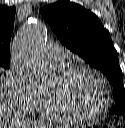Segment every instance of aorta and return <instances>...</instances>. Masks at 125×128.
Instances as JSON below:
<instances>
[{"label": "aorta", "instance_id": "1", "mask_svg": "<svg viewBox=\"0 0 125 128\" xmlns=\"http://www.w3.org/2000/svg\"><path fill=\"white\" fill-rule=\"evenodd\" d=\"M46 38L45 26L36 22L24 27L13 41L17 67L23 70L33 84L41 90H48L54 84L52 72L39 55Z\"/></svg>", "mask_w": 125, "mask_h": 128}]
</instances>
